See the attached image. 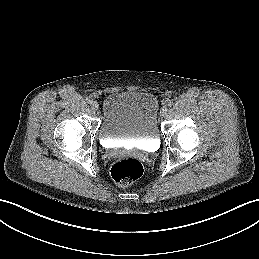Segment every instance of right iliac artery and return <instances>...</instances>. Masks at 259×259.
I'll return each instance as SVG.
<instances>
[{"label":"right iliac artery","instance_id":"right-iliac-artery-1","mask_svg":"<svg viewBox=\"0 0 259 259\" xmlns=\"http://www.w3.org/2000/svg\"><path fill=\"white\" fill-rule=\"evenodd\" d=\"M86 101H87L89 104H91V103L93 102V99L90 98V97H87V98H86Z\"/></svg>","mask_w":259,"mask_h":259}]
</instances>
